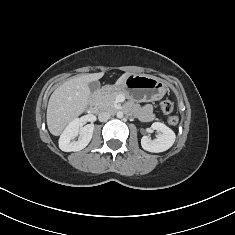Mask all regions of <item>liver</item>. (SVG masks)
Instances as JSON below:
<instances>
[{
	"instance_id": "6515ba94",
	"label": "liver",
	"mask_w": 235,
	"mask_h": 235,
	"mask_svg": "<svg viewBox=\"0 0 235 235\" xmlns=\"http://www.w3.org/2000/svg\"><path fill=\"white\" fill-rule=\"evenodd\" d=\"M130 74H123L115 85H121ZM103 76V72L74 76L54 90L46 114L47 126L52 135L59 136L71 121L86 110L91 94L88 85Z\"/></svg>"
}]
</instances>
